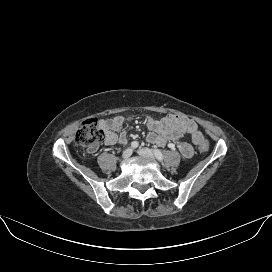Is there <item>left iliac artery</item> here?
Returning <instances> with one entry per match:
<instances>
[{
    "instance_id": "obj_1",
    "label": "left iliac artery",
    "mask_w": 272,
    "mask_h": 272,
    "mask_svg": "<svg viewBox=\"0 0 272 272\" xmlns=\"http://www.w3.org/2000/svg\"><path fill=\"white\" fill-rule=\"evenodd\" d=\"M154 155H155V157H156L159 161H162V160H163V154L161 153L160 150L155 149V150H154Z\"/></svg>"
}]
</instances>
